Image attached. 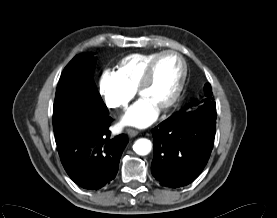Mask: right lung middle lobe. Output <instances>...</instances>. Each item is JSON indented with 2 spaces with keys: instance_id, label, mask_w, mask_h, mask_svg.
<instances>
[{
  "instance_id": "right-lung-middle-lobe-1",
  "label": "right lung middle lobe",
  "mask_w": 277,
  "mask_h": 218,
  "mask_svg": "<svg viewBox=\"0 0 277 218\" xmlns=\"http://www.w3.org/2000/svg\"><path fill=\"white\" fill-rule=\"evenodd\" d=\"M94 67L95 58L93 54L82 53L76 55L61 74L58 85L74 82L83 86L87 96H83L84 101L80 102L55 97L53 129L57 144L75 131L108 115V110L92 80Z\"/></svg>"
}]
</instances>
